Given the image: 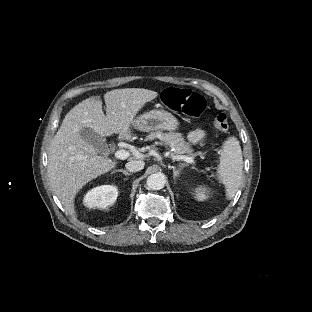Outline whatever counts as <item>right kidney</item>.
Here are the masks:
<instances>
[{"mask_svg": "<svg viewBox=\"0 0 312 312\" xmlns=\"http://www.w3.org/2000/svg\"><path fill=\"white\" fill-rule=\"evenodd\" d=\"M118 197V188L114 185H101L89 190L84 198V206L92 209H106L112 206Z\"/></svg>", "mask_w": 312, "mask_h": 312, "instance_id": "1", "label": "right kidney"}]
</instances>
